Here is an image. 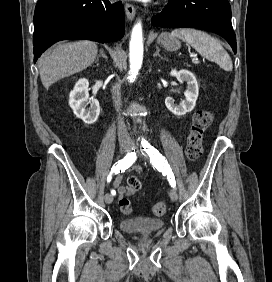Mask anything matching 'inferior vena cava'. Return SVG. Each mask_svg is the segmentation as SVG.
Wrapping results in <instances>:
<instances>
[{
    "mask_svg": "<svg viewBox=\"0 0 272 282\" xmlns=\"http://www.w3.org/2000/svg\"><path fill=\"white\" fill-rule=\"evenodd\" d=\"M111 92H112V98L115 104V108L118 112L121 106L120 84L116 83L115 85H113ZM118 138L120 141L128 140L130 138L124 120L123 118L120 117V115L118 117Z\"/></svg>",
    "mask_w": 272,
    "mask_h": 282,
    "instance_id": "602c4592",
    "label": "inferior vena cava"
}]
</instances>
